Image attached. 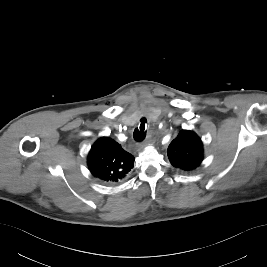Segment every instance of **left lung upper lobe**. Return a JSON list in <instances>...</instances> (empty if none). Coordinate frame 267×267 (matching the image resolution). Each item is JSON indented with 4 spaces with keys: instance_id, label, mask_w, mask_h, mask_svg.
<instances>
[{
    "instance_id": "obj_1",
    "label": "left lung upper lobe",
    "mask_w": 267,
    "mask_h": 267,
    "mask_svg": "<svg viewBox=\"0 0 267 267\" xmlns=\"http://www.w3.org/2000/svg\"><path fill=\"white\" fill-rule=\"evenodd\" d=\"M170 163L182 172L195 170L203 160L201 139L192 131L182 130L167 150Z\"/></svg>"
}]
</instances>
